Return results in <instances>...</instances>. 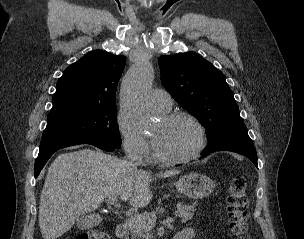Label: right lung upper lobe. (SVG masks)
<instances>
[{
  "instance_id": "obj_1",
  "label": "right lung upper lobe",
  "mask_w": 304,
  "mask_h": 239,
  "mask_svg": "<svg viewBox=\"0 0 304 239\" xmlns=\"http://www.w3.org/2000/svg\"><path fill=\"white\" fill-rule=\"evenodd\" d=\"M125 56L92 51L70 65L59 78L50 113L79 107L115 105Z\"/></svg>"
}]
</instances>
